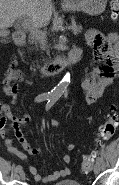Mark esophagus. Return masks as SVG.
<instances>
[{
    "label": "esophagus",
    "instance_id": "esophagus-1",
    "mask_svg": "<svg viewBox=\"0 0 119 185\" xmlns=\"http://www.w3.org/2000/svg\"><path fill=\"white\" fill-rule=\"evenodd\" d=\"M62 3L70 5L72 4V0H62Z\"/></svg>",
    "mask_w": 119,
    "mask_h": 185
}]
</instances>
